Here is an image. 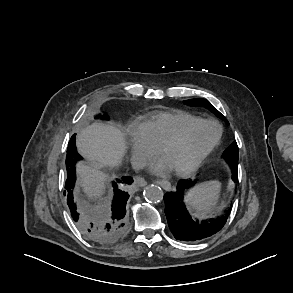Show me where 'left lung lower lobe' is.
<instances>
[{"label":"left lung lower lobe","mask_w":293,"mask_h":293,"mask_svg":"<svg viewBox=\"0 0 293 293\" xmlns=\"http://www.w3.org/2000/svg\"><path fill=\"white\" fill-rule=\"evenodd\" d=\"M232 169V180L238 181V164H230ZM191 186L190 180H180L175 192L164 195L166 205L165 214L168 226L177 240L197 241L212 236L222 229L227 221L230 209L226 215L206 221H195L187 212L183 203V194Z\"/></svg>","instance_id":"1"}]
</instances>
